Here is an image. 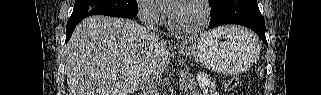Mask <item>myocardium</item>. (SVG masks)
<instances>
[{"instance_id":"1","label":"myocardium","mask_w":321,"mask_h":95,"mask_svg":"<svg viewBox=\"0 0 321 95\" xmlns=\"http://www.w3.org/2000/svg\"><path fill=\"white\" fill-rule=\"evenodd\" d=\"M193 3L197 5L201 10V22L198 26L191 29H179L176 28L171 20V17L167 20V28L174 34L180 36H192L199 34L204 30V28L208 25L211 19V10L209 4L206 0H183L179 3L178 6L183 4ZM177 8V7H176Z\"/></svg>"}]
</instances>
